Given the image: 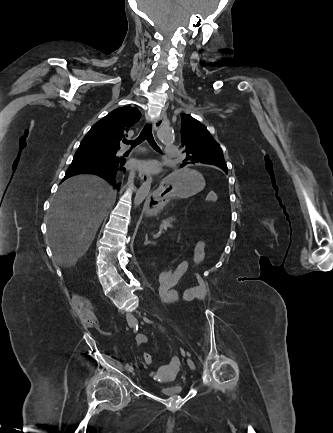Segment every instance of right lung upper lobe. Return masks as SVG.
<instances>
[{"label": "right lung upper lobe", "mask_w": 333, "mask_h": 433, "mask_svg": "<svg viewBox=\"0 0 333 433\" xmlns=\"http://www.w3.org/2000/svg\"><path fill=\"white\" fill-rule=\"evenodd\" d=\"M141 117L137 108L124 106L110 112L102 118L86 134L83 141L90 146L107 151L117 152L122 139Z\"/></svg>", "instance_id": "right-lung-upper-lobe-1"}]
</instances>
